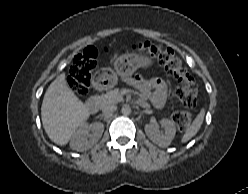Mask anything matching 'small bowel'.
I'll list each match as a JSON object with an SVG mask.
<instances>
[{
  "label": "small bowel",
  "mask_w": 248,
  "mask_h": 194,
  "mask_svg": "<svg viewBox=\"0 0 248 194\" xmlns=\"http://www.w3.org/2000/svg\"><path fill=\"white\" fill-rule=\"evenodd\" d=\"M131 83L141 93L143 100L150 101L155 107L160 108L166 103L168 85L163 79L135 76L131 79Z\"/></svg>",
  "instance_id": "1"
}]
</instances>
